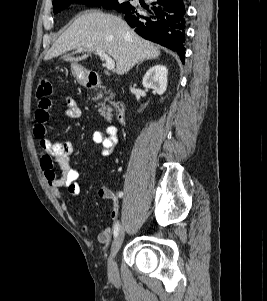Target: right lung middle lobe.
I'll list each match as a JSON object with an SVG mask.
<instances>
[{
    "label": "right lung middle lobe",
    "mask_w": 267,
    "mask_h": 301,
    "mask_svg": "<svg viewBox=\"0 0 267 301\" xmlns=\"http://www.w3.org/2000/svg\"><path fill=\"white\" fill-rule=\"evenodd\" d=\"M72 3H82L90 7H99L100 5L107 9H117L121 11L124 9L129 2L118 4V0H54L53 10L54 13L60 12L64 8L68 7Z\"/></svg>",
    "instance_id": "obj_1"
}]
</instances>
